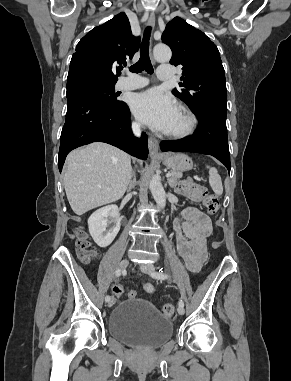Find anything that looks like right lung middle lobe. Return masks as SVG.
<instances>
[{"mask_svg": "<svg viewBox=\"0 0 291 381\" xmlns=\"http://www.w3.org/2000/svg\"><path fill=\"white\" fill-rule=\"evenodd\" d=\"M68 81H78V82H82V83L90 85L111 105H118L122 103V101H118L116 99L117 94L115 93V89H114L115 83H102V82H98L92 79L82 78V77H74V78L68 79L67 82Z\"/></svg>", "mask_w": 291, "mask_h": 381, "instance_id": "dd1d6c3e", "label": "right lung middle lobe"}]
</instances>
